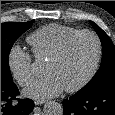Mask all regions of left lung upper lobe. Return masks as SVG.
<instances>
[{"instance_id": "obj_1", "label": "left lung upper lobe", "mask_w": 115, "mask_h": 115, "mask_svg": "<svg viewBox=\"0 0 115 115\" xmlns=\"http://www.w3.org/2000/svg\"><path fill=\"white\" fill-rule=\"evenodd\" d=\"M102 43V62L94 77L76 94L83 95L106 87H115V46L107 34L90 21Z\"/></svg>"}]
</instances>
